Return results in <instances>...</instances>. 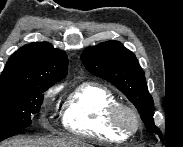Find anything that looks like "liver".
I'll list each match as a JSON object with an SVG mask.
<instances>
[{"label":"liver","mask_w":183,"mask_h":147,"mask_svg":"<svg viewBox=\"0 0 183 147\" xmlns=\"http://www.w3.org/2000/svg\"><path fill=\"white\" fill-rule=\"evenodd\" d=\"M1 147H92V145L76 137L16 138L3 143Z\"/></svg>","instance_id":"6515ba94"}]
</instances>
